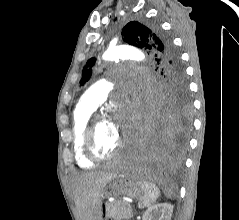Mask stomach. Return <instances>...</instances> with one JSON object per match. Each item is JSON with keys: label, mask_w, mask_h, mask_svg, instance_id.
Masks as SVG:
<instances>
[{"label": "stomach", "mask_w": 239, "mask_h": 220, "mask_svg": "<svg viewBox=\"0 0 239 220\" xmlns=\"http://www.w3.org/2000/svg\"><path fill=\"white\" fill-rule=\"evenodd\" d=\"M111 192H117V195H124L131 198L141 196L143 193L138 182L134 178H115L109 185ZM103 215V203H101L100 215Z\"/></svg>", "instance_id": "stomach-1"}]
</instances>
